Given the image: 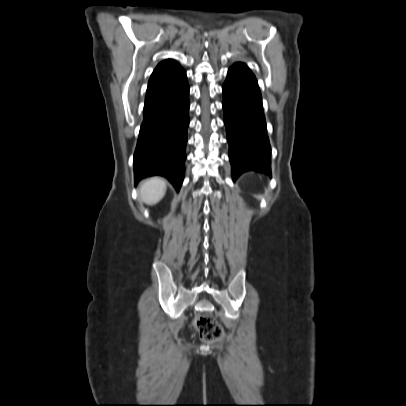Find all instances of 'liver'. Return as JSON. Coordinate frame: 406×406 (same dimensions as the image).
Wrapping results in <instances>:
<instances>
[{"label":"liver","mask_w":406,"mask_h":406,"mask_svg":"<svg viewBox=\"0 0 406 406\" xmlns=\"http://www.w3.org/2000/svg\"><path fill=\"white\" fill-rule=\"evenodd\" d=\"M165 181L161 178H150L142 182L140 188L141 199L147 204H155L165 194Z\"/></svg>","instance_id":"6515ba94"}]
</instances>
